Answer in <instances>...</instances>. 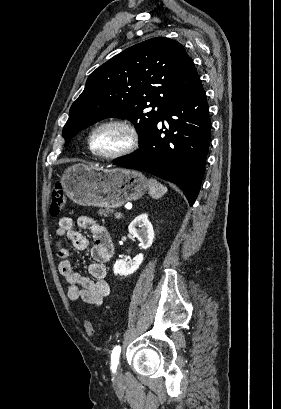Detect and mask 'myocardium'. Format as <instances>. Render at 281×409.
<instances>
[{"instance_id": "obj_1", "label": "myocardium", "mask_w": 281, "mask_h": 409, "mask_svg": "<svg viewBox=\"0 0 281 409\" xmlns=\"http://www.w3.org/2000/svg\"><path fill=\"white\" fill-rule=\"evenodd\" d=\"M108 129H116L122 132L125 136V141L113 152L100 153L95 148V138L98 133ZM139 142L140 134L134 125L122 119H109L99 123L93 128L89 137V148L92 154L99 158L114 160L132 153L138 147Z\"/></svg>"}]
</instances>
